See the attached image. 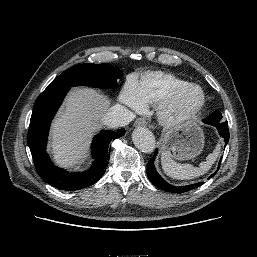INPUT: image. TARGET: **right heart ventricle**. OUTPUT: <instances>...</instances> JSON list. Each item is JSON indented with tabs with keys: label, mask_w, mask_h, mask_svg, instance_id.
<instances>
[{
	"label": "right heart ventricle",
	"mask_w": 257,
	"mask_h": 257,
	"mask_svg": "<svg viewBox=\"0 0 257 257\" xmlns=\"http://www.w3.org/2000/svg\"><path fill=\"white\" fill-rule=\"evenodd\" d=\"M189 84L174 74L163 71H150L142 74L136 82L137 94L147 106L163 101L173 90Z\"/></svg>",
	"instance_id": "obj_1"
}]
</instances>
